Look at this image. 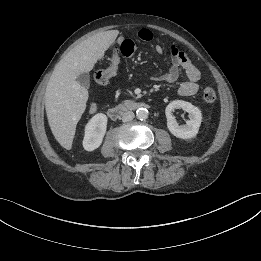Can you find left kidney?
Returning a JSON list of instances; mask_svg holds the SVG:
<instances>
[{
    "label": "left kidney",
    "instance_id": "5707ae66",
    "mask_svg": "<svg viewBox=\"0 0 261 261\" xmlns=\"http://www.w3.org/2000/svg\"><path fill=\"white\" fill-rule=\"evenodd\" d=\"M175 109H183L189 113V120H187L185 125H178L176 122L172 115ZM165 114L167 127L174 136L182 139H190L197 135L202 121V114L198 107L183 100H175L167 105Z\"/></svg>",
    "mask_w": 261,
    "mask_h": 261
}]
</instances>
